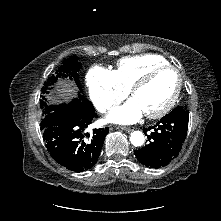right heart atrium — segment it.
I'll return each instance as SVG.
<instances>
[{"instance_id":"obj_1","label":"right heart atrium","mask_w":221,"mask_h":221,"mask_svg":"<svg viewBox=\"0 0 221 221\" xmlns=\"http://www.w3.org/2000/svg\"><path fill=\"white\" fill-rule=\"evenodd\" d=\"M86 83L90 99L100 112H107L119 104L129 92L118 81L114 71L101 66L89 69Z\"/></svg>"}]
</instances>
